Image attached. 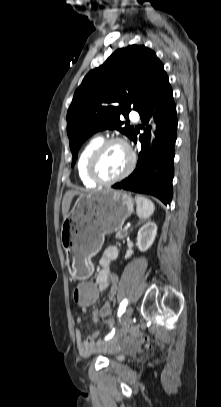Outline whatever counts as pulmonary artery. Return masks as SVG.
<instances>
[{"label": "pulmonary artery", "mask_w": 221, "mask_h": 407, "mask_svg": "<svg viewBox=\"0 0 221 407\" xmlns=\"http://www.w3.org/2000/svg\"><path fill=\"white\" fill-rule=\"evenodd\" d=\"M130 117L132 120L137 121L139 119V114L136 111H132Z\"/></svg>", "instance_id": "obj_1"}]
</instances>
